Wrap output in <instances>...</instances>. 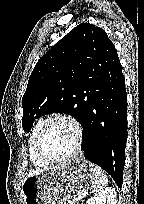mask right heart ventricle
I'll use <instances>...</instances> for the list:
<instances>
[{
    "label": "right heart ventricle",
    "instance_id": "right-heart-ventricle-1",
    "mask_svg": "<svg viewBox=\"0 0 144 204\" xmlns=\"http://www.w3.org/2000/svg\"><path fill=\"white\" fill-rule=\"evenodd\" d=\"M46 119L44 118H40L37 120V122L34 124L29 138H28V153H29V158L31 163L36 166V167H43L46 166L48 163L45 162L44 160H42L36 152V148H35V143H36V138H37V134L40 130V128L42 127V125L44 124Z\"/></svg>",
    "mask_w": 144,
    "mask_h": 204
}]
</instances>
